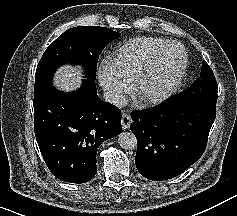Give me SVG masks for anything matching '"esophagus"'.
Returning a JSON list of instances; mask_svg holds the SVG:
<instances>
[{"label":"esophagus","mask_w":237,"mask_h":216,"mask_svg":"<svg viewBox=\"0 0 237 216\" xmlns=\"http://www.w3.org/2000/svg\"><path fill=\"white\" fill-rule=\"evenodd\" d=\"M131 123V116L129 113L124 112L122 114V128L124 130L128 129Z\"/></svg>","instance_id":"1"}]
</instances>
